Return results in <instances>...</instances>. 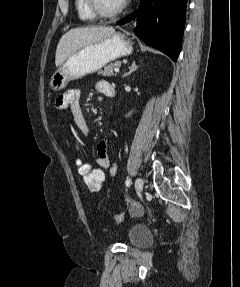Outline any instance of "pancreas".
Wrapping results in <instances>:
<instances>
[{
  "label": "pancreas",
  "instance_id": "1",
  "mask_svg": "<svg viewBox=\"0 0 240 287\" xmlns=\"http://www.w3.org/2000/svg\"><path fill=\"white\" fill-rule=\"evenodd\" d=\"M121 66V62L116 61L113 63H110L109 65H107L104 70L99 71V74H102L105 77H111L114 76L116 74H114V69L117 67Z\"/></svg>",
  "mask_w": 240,
  "mask_h": 287
}]
</instances>
